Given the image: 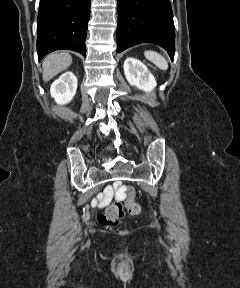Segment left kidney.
Instances as JSON below:
<instances>
[{
	"label": "left kidney",
	"instance_id": "5707ae66",
	"mask_svg": "<svg viewBox=\"0 0 240 288\" xmlns=\"http://www.w3.org/2000/svg\"><path fill=\"white\" fill-rule=\"evenodd\" d=\"M124 73L131 86L145 92H151L157 85L152 73L138 59L128 57L124 61Z\"/></svg>",
	"mask_w": 240,
	"mask_h": 288
}]
</instances>
